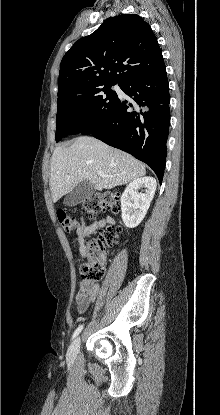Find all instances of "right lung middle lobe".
<instances>
[{
  "label": "right lung middle lobe",
  "mask_w": 220,
  "mask_h": 415,
  "mask_svg": "<svg viewBox=\"0 0 220 415\" xmlns=\"http://www.w3.org/2000/svg\"><path fill=\"white\" fill-rule=\"evenodd\" d=\"M115 84L112 81L80 84L58 94L56 141L82 131L91 133L103 124L118 97L111 89Z\"/></svg>",
  "instance_id": "right-lung-middle-lobe-1"
}]
</instances>
